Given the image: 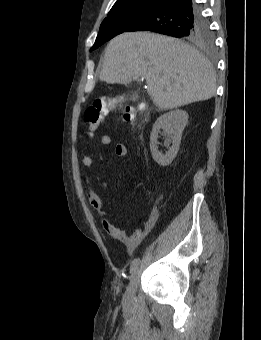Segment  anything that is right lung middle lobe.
I'll use <instances>...</instances> for the list:
<instances>
[{"label":"right lung middle lobe","mask_w":261,"mask_h":340,"mask_svg":"<svg viewBox=\"0 0 261 340\" xmlns=\"http://www.w3.org/2000/svg\"><path fill=\"white\" fill-rule=\"evenodd\" d=\"M158 4L159 2L156 1H137L113 6L108 16L102 22L95 44L90 51L98 48L114 36L125 32ZM181 38L206 47H210L213 43L209 24L203 17L195 25L187 28Z\"/></svg>","instance_id":"1"}]
</instances>
